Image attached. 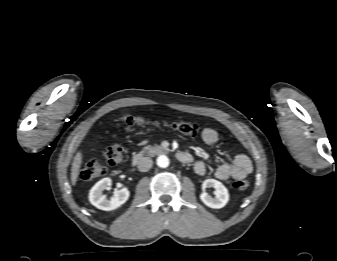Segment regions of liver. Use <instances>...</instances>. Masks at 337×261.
Here are the masks:
<instances>
[{
  "label": "liver",
  "mask_w": 337,
  "mask_h": 261,
  "mask_svg": "<svg viewBox=\"0 0 337 261\" xmlns=\"http://www.w3.org/2000/svg\"><path fill=\"white\" fill-rule=\"evenodd\" d=\"M81 164H82V153L81 151H78L74 157L72 168H71V183L73 186L77 182Z\"/></svg>",
  "instance_id": "6515ba94"
}]
</instances>
